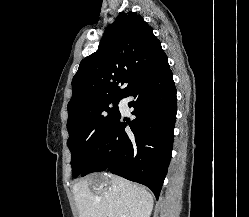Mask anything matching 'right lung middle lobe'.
Returning a JSON list of instances; mask_svg holds the SVG:
<instances>
[{
    "instance_id": "1",
    "label": "right lung middle lobe",
    "mask_w": 249,
    "mask_h": 217,
    "mask_svg": "<svg viewBox=\"0 0 249 217\" xmlns=\"http://www.w3.org/2000/svg\"><path fill=\"white\" fill-rule=\"evenodd\" d=\"M122 98L96 101L69 115L67 146L71 151L73 177L81 175L89 158L119 118L118 103Z\"/></svg>"
}]
</instances>
